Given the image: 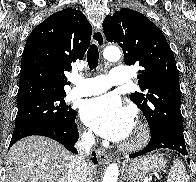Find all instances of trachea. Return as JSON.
Returning a JSON list of instances; mask_svg holds the SVG:
<instances>
[{
	"label": "trachea",
	"mask_w": 196,
	"mask_h": 182,
	"mask_svg": "<svg viewBox=\"0 0 196 182\" xmlns=\"http://www.w3.org/2000/svg\"><path fill=\"white\" fill-rule=\"evenodd\" d=\"M87 62L90 70L96 68L99 63V51L96 44H92L87 52Z\"/></svg>",
	"instance_id": "trachea-1"
}]
</instances>
